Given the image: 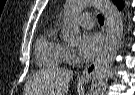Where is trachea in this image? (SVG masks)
<instances>
[{
  "label": "trachea",
  "mask_w": 135,
  "mask_h": 95,
  "mask_svg": "<svg viewBox=\"0 0 135 95\" xmlns=\"http://www.w3.org/2000/svg\"><path fill=\"white\" fill-rule=\"evenodd\" d=\"M98 22L100 24H103L104 23V18L100 14L98 15Z\"/></svg>",
  "instance_id": "trachea-1"
}]
</instances>
